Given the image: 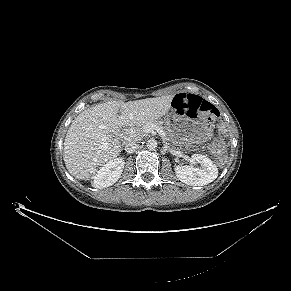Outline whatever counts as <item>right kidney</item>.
Wrapping results in <instances>:
<instances>
[{"instance_id":"obj_1","label":"right kidney","mask_w":291,"mask_h":291,"mask_svg":"<svg viewBox=\"0 0 291 291\" xmlns=\"http://www.w3.org/2000/svg\"><path fill=\"white\" fill-rule=\"evenodd\" d=\"M124 165L125 161L123 158L108 161L96 173L93 186L102 189L113 185L120 178Z\"/></svg>"}]
</instances>
